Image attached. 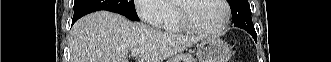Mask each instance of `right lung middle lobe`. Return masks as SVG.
<instances>
[{"label": "right lung middle lobe", "mask_w": 331, "mask_h": 62, "mask_svg": "<svg viewBox=\"0 0 331 62\" xmlns=\"http://www.w3.org/2000/svg\"><path fill=\"white\" fill-rule=\"evenodd\" d=\"M98 10H107L124 15L130 20L138 21L134 0H75L74 16L80 17Z\"/></svg>", "instance_id": "right-lung-middle-lobe-1"}]
</instances>
